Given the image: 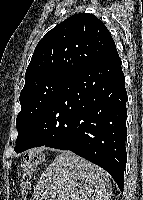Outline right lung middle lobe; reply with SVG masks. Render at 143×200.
<instances>
[{
  "mask_svg": "<svg viewBox=\"0 0 143 200\" xmlns=\"http://www.w3.org/2000/svg\"><path fill=\"white\" fill-rule=\"evenodd\" d=\"M71 76L53 74L24 86L20 93L21 111L16 119L18 153L32 126Z\"/></svg>",
  "mask_w": 143,
  "mask_h": 200,
  "instance_id": "right-lung-middle-lobe-1",
  "label": "right lung middle lobe"
}]
</instances>
